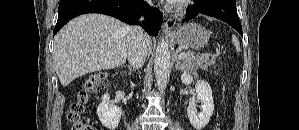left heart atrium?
<instances>
[{
	"instance_id": "obj_1",
	"label": "left heart atrium",
	"mask_w": 299,
	"mask_h": 130,
	"mask_svg": "<svg viewBox=\"0 0 299 130\" xmlns=\"http://www.w3.org/2000/svg\"><path fill=\"white\" fill-rule=\"evenodd\" d=\"M169 3H173V4H175V3H179L180 1L179 0H170V1H168Z\"/></svg>"
}]
</instances>
